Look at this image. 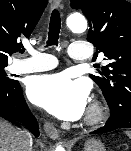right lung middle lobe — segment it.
<instances>
[{"instance_id": "1", "label": "right lung middle lobe", "mask_w": 131, "mask_h": 151, "mask_svg": "<svg viewBox=\"0 0 131 151\" xmlns=\"http://www.w3.org/2000/svg\"><path fill=\"white\" fill-rule=\"evenodd\" d=\"M7 66V63H0V84L10 83L14 81L13 79H9L4 68Z\"/></svg>"}]
</instances>
